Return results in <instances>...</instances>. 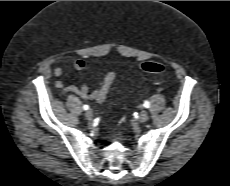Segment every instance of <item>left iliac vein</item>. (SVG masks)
Wrapping results in <instances>:
<instances>
[{"label":"left iliac vein","mask_w":230,"mask_h":186,"mask_svg":"<svg viewBox=\"0 0 230 186\" xmlns=\"http://www.w3.org/2000/svg\"><path fill=\"white\" fill-rule=\"evenodd\" d=\"M147 119H148V112L146 110H143L140 113L138 120L143 123V122L147 121Z\"/></svg>","instance_id":"obj_1"}]
</instances>
